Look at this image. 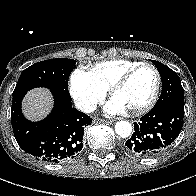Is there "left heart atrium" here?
<instances>
[{
  "mask_svg": "<svg viewBox=\"0 0 196 196\" xmlns=\"http://www.w3.org/2000/svg\"><path fill=\"white\" fill-rule=\"evenodd\" d=\"M105 110L109 114H122L126 112L125 106H123L121 103L116 101L115 99H111L105 106Z\"/></svg>",
  "mask_w": 196,
  "mask_h": 196,
  "instance_id": "39dd6f15",
  "label": "left heart atrium"
}]
</instances>
